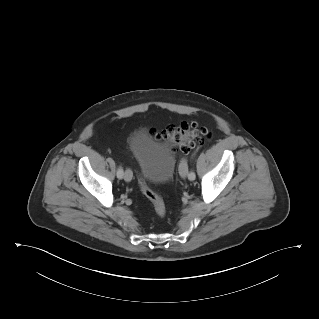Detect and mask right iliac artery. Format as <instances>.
<instances>
[{
	"instance_id": "82829eb1",
	"label": "right iliac artery",
	"mask_w": 319,
	"mask_h": 319,
	"mask_svg": "<svg viewBox=\"0 0 319 319\" xmlns=\"http://www.w3.org/2000/svg\"><path fill=\"white\" fill-rule=\"evenodd\" d=\"M123 175H124V172H123V168L120 166L117 170V177L119 179H122L123 178Z\"/></svg>"
}]
</instances>
